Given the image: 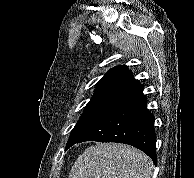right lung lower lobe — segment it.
Wrapping results in <instances>:
<instances>
[{
	"label": "right lung lower lobe",
	"mask_w": 194,
	"mask_h": 178,
	"mask_svg": "<svg viewBox=\"0 0 194 178\" xmlns=\"http://www.w3.org/2000/svg\"><path fill=\"white\" fill-rule=\"evenodd\" d=\"M84 141L128 144L143 151L156 164L154 117L147 109V99L141 97L123 104L75 143Z\"/></svg>",
	"instance_id": "obj_1"
}]
</instances>
